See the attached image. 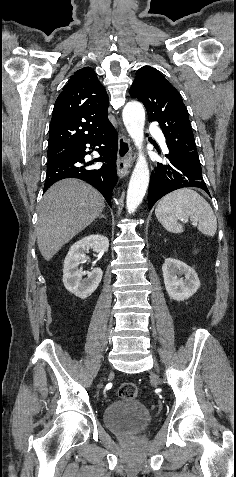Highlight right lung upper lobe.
Returning a JSON list of instances; mask_svg holds the SVG:
<instances>
[{"mask_svg": "<svg viewBox=\"0 0 236 477\" xmlns=\"http://www.w3.org/2000/svg\"><path fill=\"white\" fill-rule=\"evenodd\" d=\"M108 95L94 70H78L58 96L49 128L48 157L62 159L110 121ZM54 162H48L51 164Z\"/></svg>", "mask_w": 236, "mask_h": 477, "instance_id": "obj_1", "label": "right lung upper lobe"}]
</instances>
